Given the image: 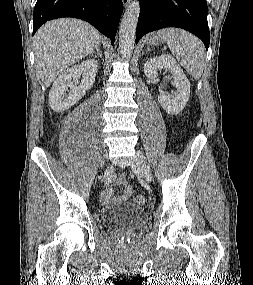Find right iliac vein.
<instances>
[{
    "mask_svg": "<svg viewBox=\"0 0 253 285\" xmlns=\"http://www.w3.org/2000/svg\"><path fill=\"white\" fill-rule=\"evenodd\" d=\"M112 169H113V167H109V168H108V172H111Z\"/></svg>",
    "mask_w": 253,
    "mask_h": 285,
    "instance_id": "63e3f726",
    "label": "right iliac vein"
}]
</instances>
